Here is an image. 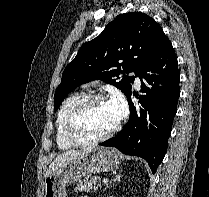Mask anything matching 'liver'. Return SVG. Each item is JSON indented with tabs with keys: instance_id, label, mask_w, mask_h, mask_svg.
Here are the masks:
<instances>
[{
	"instance_id": "6515ba94",
	"label": "liver",
	"mask_w": 209,
	"mask_h": 197,
	"mask_svg": "<svg viewBox=\"0 0 209 197\" xmlns=\"http://www.w3.org/2000/svg\"><path fill=\"white\" fill-rule=\"evenodd\" d=\"M91 149L92 147L84 148L82 150H72L69 152H64L63 154L57 156L53 160V162L49 165L45 177L50 176L55 170H57L59 167L63 165H66L71 160H74L84 154H87L88 152L91 151Z\"/></svg>"
}]
</instances>
